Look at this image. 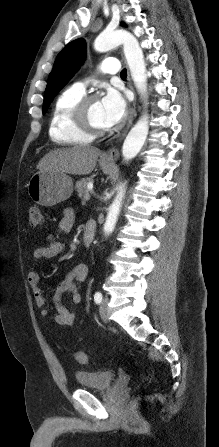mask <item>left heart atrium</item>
<instances>
[{"instance_id":"1","label":"left heart atrium","mask_w":219,"mask_h":447,"mask_svg":"<svg viewBox=\"0 0 219 447\" xmlns=\"http://www.w3.org/2000/svg\"><path fill=\"white\" fill-rule=\"evenodd\" d=\"M100 104L106 127H112L120 122L127 110V103L124 97L118 91L112 89L107 91Z\"/></svg>"}]
</instances>
